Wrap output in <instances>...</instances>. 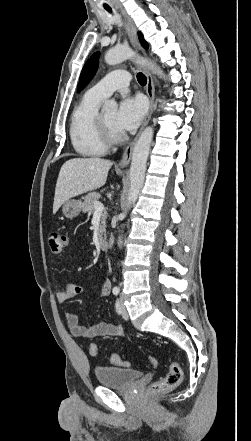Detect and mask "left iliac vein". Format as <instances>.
Wrapping results in <instances>:
<instances>
[{"label": "left iliac vein", "instance_id": "4c4485c4", "mask_svg": "<svg viewBox=\"0 0 251 441\" xmlns=\"http://www.w3.org/2000/svg\"><path fill=\"white\" fill-rule=\"evenodd\" d=\"M120 309H121V315H122V317L125 319V320H128L129 319V314H128V312H127V309H126V307L124 306V304L121 302V304H120Z\"/></svg>", "mask_w": 251, "mask_h": 441}]
</instances>
